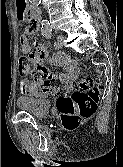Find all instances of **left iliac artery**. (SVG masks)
I'll return each mask as SVG.
<instances>
[{"label": "left iliac artery", "mask_w": 123, "mask_h": 167, "mask_svg": "<svg viewBox=\"0 0 123 167\" xmlns=\"http://www.w3.org/2000/svg\"><path fill=\"white\" fill-rule=\"evenodd\" d=\"M53 33L52 29H50L47 33H45L43 36L46 37L47 39H51ZM54 46L57 48V43L54 44Z\"/></svg>", "instance_id": "obj_1"}]
</instances>
